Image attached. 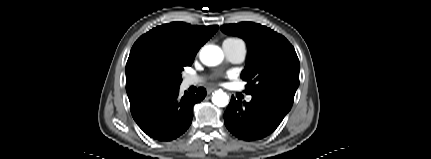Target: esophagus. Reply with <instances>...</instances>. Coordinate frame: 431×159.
Listing matches in <instances>:
<instances>
[{"label": "esophagus", "instance_id": "esophagus-1", "mask_svg": "<svg viewBox=\"0 0 431 159\" xmlns=\"http://www.w3.org/2000/svg\"><path fill=\"white\" fill-rule=\"evenodd\" d=\"M214 91H215V89H214V88H210V89H208V90H207V93H208V94H211V93H212V92H214Z\"/></svg>", "mask_w": 431, "mask_h": 159}]
</instances>
